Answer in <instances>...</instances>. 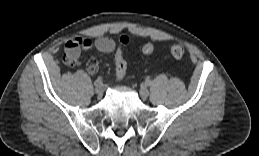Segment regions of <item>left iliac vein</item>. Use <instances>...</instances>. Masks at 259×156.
<instances>
[{
	"mask_svg": "<svg viewBox=\"0 0 259 156\" xmlns=\"http://www.w3.org/2000/svg\"><path fill=\"white\" fill-rule=\"evenodd\" d=\"M139 93H140V96H141L142 99H146V98L148 97V95H149V91H148V89L146 88V86H142V87L140 88Z\"/></svg>",
	"mask_w": 259,
	"mask_h": 156,
	"instance_id": "4c4485c4",
	"label": "left iliac vein"
}]
</instances>
